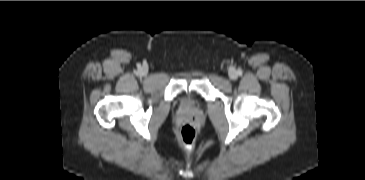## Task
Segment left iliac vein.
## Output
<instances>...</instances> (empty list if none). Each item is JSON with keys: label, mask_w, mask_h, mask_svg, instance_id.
<instances>
[{"label": "left iliac vein", "mask_w": 365, "mask_h": 180, "mask_svg": "<svg viewBox=\"0 0 365 180\" xmlns=\"http://www.w3.org/2000/svg\"><path fill=\"white\" fill-rule=\"evenodd\" d=\"M229 77H230V79L235 80L238 77V73L235 70L232 69L229 72Z\"/></svg>", "instance_id": "4c4485c4"}]
</instances>
